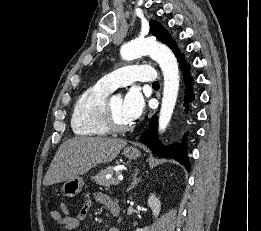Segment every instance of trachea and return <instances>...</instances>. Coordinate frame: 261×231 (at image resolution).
<instances>
[{
  "label": "trachea",
  "instance_id": "trachea-1",
  "mask_svg": "<svg viewBox=\"0 0 261 231\" xmlns=\"http://www.w3.org/2000/svg\"><path fill=\"white\" fill-rule=\"evenodd\" d=\"M152 86H159V82L158 81L153 82Z\"/></svg>",
  "mask_w": 261,
  "mask_h": 231
}]
</instances>
